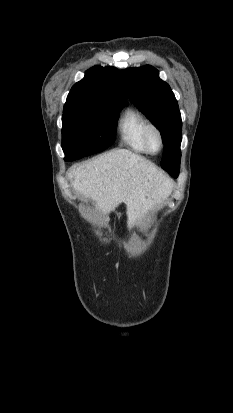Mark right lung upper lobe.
Returning a JSON list of instances; mask_svg holds the SVG:
<instances>
[{"label":"right lung upper lobe","instance_id":"cb5924a9","mask_svg":"<svg viewBox=\"0 0 233 413\" xmlns=\"http://www.w3.org/2000/svg\"><path fill=\"white\" fill-rule=\"evenodd\" d=\"M68 97L122 101L126 103L120 71L115 67L94 66L85 77L73 85Z\"/></svg>","mask_w":233,"mask_h":413}]
</instances>
